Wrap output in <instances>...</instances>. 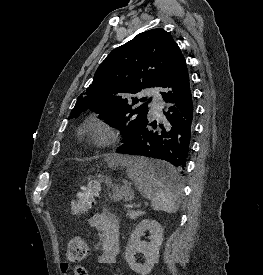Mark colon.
I'll use <instances>...</instances> for the list:
<instances>
[{
  "mask_svg": "<svg viewBox=\"0 0 263 275\" xmlns=\"http://www.w3.org/2000/svg\"><path fill=\"white\" fill-rule=\"evenodd\" d=\"M100 183L96 179H90L78 198L72 203L71 210L74 214L86 213L93 205L95 198L100 193ZM89 252V242L85 237L77 236L71 239L66 248V259L68 262L77 263L86 258ZM68 263H64L67 267ZM74 275H88L82 266H76Z\"/></svg>",
  "mask_w": 263,
  "mask_h": 275,
  "instance_id": "5ec220e1",
  "label": "colon"
}]
</instances>
